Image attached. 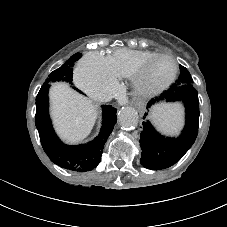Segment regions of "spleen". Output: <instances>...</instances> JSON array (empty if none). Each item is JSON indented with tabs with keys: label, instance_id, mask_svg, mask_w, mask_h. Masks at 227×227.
<instances>
[{
	"label": "spleen",
	"instance_id": "spleen-1",
	"mask_svg": "<svg viewBox=\"0 0 227 227\" xmlns=\"http://www.w3.org/2000/svg\"><path fill=\"white\" fill-rule=\"evenodd\" d=\"M151 120L155 127L164 134H176L181 127V115L175 107H154Z\"/></svg>",
	"mask_w": 227,
	"mask_h": 227
}]
</instances>
